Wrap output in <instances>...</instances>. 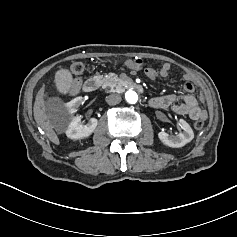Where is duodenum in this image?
<instances>
[{
    "mask_svg": "<svg viewBox=\"0 0 237 237\" xmlns=\"http://www.w3.org/2000/svg\"><path fill=\"white\" fill-rule=\"evenodd\" d=\"M127 85L130 87V88H132V89H134V90H136V91H138V92H143V87H142V85L141 84H139V83H137V82H135V81H132V80H128L127 81ZM99 86H100V80L98 79V78H96V77H91V78H88L85 82H84V84H83V90L85 91V92H94V91H96L98 88H99Z\"/></svg>",
    "mask_w": 237,
    "mask_h": 237,
    "instance_id": "duodenum-1",
    "label": "duodenum"
}]
</instances>
